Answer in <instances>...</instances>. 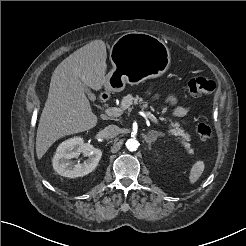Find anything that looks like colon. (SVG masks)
I'll return each instance as SVG.
<instances>
[{
  "label": "colon",
  "instance_id": "1",
  "mask_svg": "<svg viewBox=\"0 0 246 246\" xmlns=\"http://www.w3.org/2000/svg\"><path fill=\"white\" fill-rule=\"evenodd\" d=\"M216 88V84L213 80L205 77H195L187 82L186 89L192 96H201L213 92ZM197 133L201 140L207 141L212 137L211 127L205 123L200 122L196 127Z\"/></svg>",
  "mask_w": 246,
  "mask_h": 246
}]
</instances>
